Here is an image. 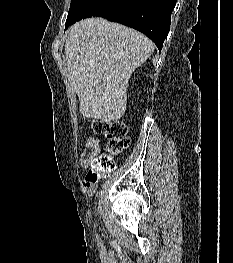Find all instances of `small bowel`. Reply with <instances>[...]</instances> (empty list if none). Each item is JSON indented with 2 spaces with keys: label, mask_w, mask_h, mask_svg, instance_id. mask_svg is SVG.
Segmentation results:
<instances>
[{
  "label": "small bowel",
  "mask_w": 233,
  "mask_h": 263,
  "mask_svg": "<svg viewBox=\"0 0 233 263\" xmlns=\"http://www.w3.org/2000/svg\"><path fill=\"white\" fill-rule=\"evenodd\" d=\"M101 151L100 140L89 136L85 139V148L83 149L80 157V164L83 168L89 169L93 160L98 156ZM83 186L89 194H93L96 190V183H88L83 180Z\"/></svg>",
  "instance_id": "1"
}]
</instances>
